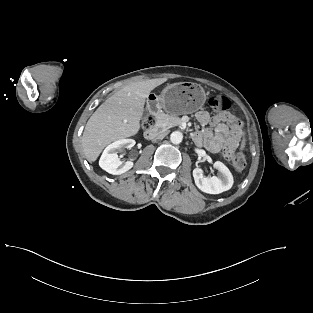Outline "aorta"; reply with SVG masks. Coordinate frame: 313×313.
Returning a JSON list of instances; mask_svg holds the SVG:
<instances>
[{"mask_svg": "<svg viewBox=\"0 0 313 313\" xmlns=\"http://www.w3.org/2000/svg\"><path fill=\"white\" fill-rule=\"evenodd\" d=\"M183 140V134L180 131H174L170 135V141L173 144H180Z\"/></svg>", "mask_w": 313, "mask_h": 313, "instance_id": "obj_1", "label": "aorta"}]
</instances>
